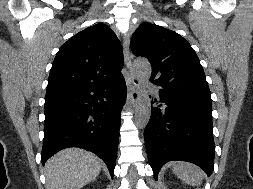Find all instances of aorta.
Returning <instances> with one entry per match:
<instances>
[{"label": "aorta", "instance_id": "obj_1", "mask_svg": "<svg viewBox=\"0 0 253 189\" xmlns=\"http://www.w3.org/2000/svg\"><path fill=\"white\" fill-rule=\"evenodd\" d=\"M134 72L136 76L145 81L151 76V65L146 59H136L134 61ZM151 115V100L146 90H141L135 106V124L142 129L148 124Z\"/></svg>", "mask_w": 253, "mask_h": 189}]
</instances>
